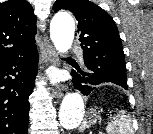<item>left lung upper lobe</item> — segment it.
I'll return each instance as SVG.
<instances>
[{"instance_id":"left-lung-upper-lobe-1","label":"left lung upper lobe","mask_w":153,"mask_h":134,"mask_svg":"<svg viewBox=\"0 0 153 134\" xmlns=\"http://www.w3.org/2000/svg\"><path fill=\"white\" fill-rule=\"evenodd\" d=\"M61 9L71 11L78 20L88 71L106 78V83L127 86L123 47L112 17L89 0H56L53 10Z\"/></svg>"}]
</instances>
